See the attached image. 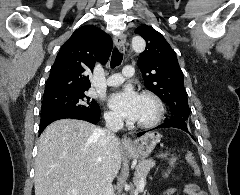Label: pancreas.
<instances>
[{"label":"pancreas","instance_id":"pancreas-1","mask_svg":"<svg viewBox=\"0 0 240 195\" xmlns=\"http://www.w3.org/2000/svg\"><path fill=\"white\" fill-rule=\"evenodd\" d=\"M154 165H156L154 159H139L134 173L135 177H133L135 185H139L141 179L145 181L146 175H148L151 167H154Z\"/></svg>","mask_w":240,"mask_h":195}]
</instances>
